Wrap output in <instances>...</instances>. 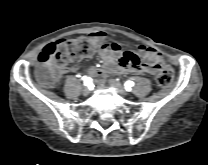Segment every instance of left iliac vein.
Instances as JSON below:
<instances>
[{
  "label": "left iliac vein",
  "mask_w": 208,
  "mask_h": 165,
  "mask_svg": "<svg viewBox=\"0 0 208 165\" xmlns=\"http://www.w3.org/2000/svg\"><path fill=\"white\" fill-rule=\"evenodd\" d=\"M109 84L115 88L118 93L122 96H127L128 92L123 88V86L121 84H119L118 82L114 81V80H110Z\"/></svg>",
  "instance_id": "left-iliac-vein-1"
}]
</instances>
